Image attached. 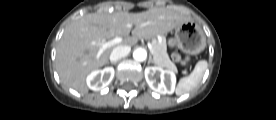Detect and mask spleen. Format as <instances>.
Masks as SVG:
<instances>
[{
    "instance_id": "spleen-1",
    "label": "spleen",
    "mask_w": 276,
    "mask_h": 120,
    "mask_svg": "<svg viewBox=\"0 0 276 120\" xmlns=\"http://www.w3.org/2000/svg\"><path fill=\"white\" fill-rule=\"evenodd\" d=\"M207 66V61H199L196 64L195 69L189 76L183 77L179 80L175 90L176 95L180 96L186 94L187 92L195 88L201 82Z\"/></svg>"
}]
</instances>
